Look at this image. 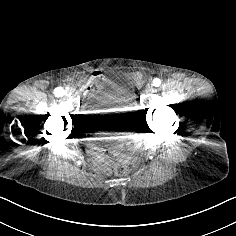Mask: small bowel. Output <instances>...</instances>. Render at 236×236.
Masks as SVG:
<instances>
[{
    "instance_id": "obj_1",
    "label": "small bowel",
    "mask_w": 236,
    "mask_h": 236,
    "mask_svg": "<svg viewBox=\"0 0 236 236\" xmlns=\"http://www.w3.org/2000/svg\"><path fill=\"white\" fill-rule=\"evenodd\" d=\"M103 81H105L104 74L101 71H94L91 75L81 80L80 87L87 96L93 97L94 86ZM115 138L120 142V145L115 152L111 153L112 156H130L139 147V138L135 132H124ZM89 150L98 163L105 166L108 165L110 157L103 153L102 147L96 140L89 143Z\"/></svg>"
}]
</instances>
